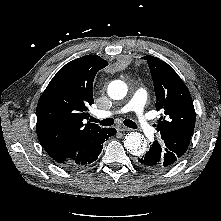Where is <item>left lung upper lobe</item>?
Returning <instances> with one entry per match:
<instances>
[{
    "mask_svg": "<svg viewBox=\"0 0 221 221\" xmlns=\"http://www.w3.org/2000/svg\"><path fill=\"white\" fill-rule=\"evenodd\" d=\"M154 83L156 109L163 112L157 124L159 143L176 164L186 152L195 126L191 95L178 74L157 57L144 56Z\"/></svg>",
    "mask_w": 221,
    "mask_h": 221,
    "instance_id": "obj_1",
    "label": "left lung upper lobe"
}]
</instances>
